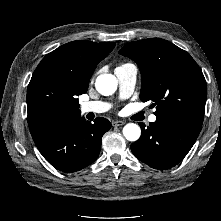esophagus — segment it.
Here are the masks:
<instances>
[{"label": "esophagus", "instance_id": "34e87169", "mask_svg": "<svg viewBox=\"0 0 221 221\" xmlns=\"http://www.w3.org/2000/svg\"><path fill=\"white\" fill-rule=\"evenodd\" d=\"M125 124L124 121H120V120H117V121H113L112 122V126L113 127H117V126H123Z\"/></svg>", "mask_w": 221, "mask_h": 221}]
</instances>
